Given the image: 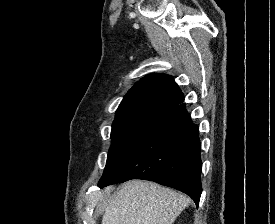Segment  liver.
<instances>
[{
  "instance_id": "6515ba94",
  "label": "liver",
  "mask_w": 275,
  "mask_h": 224,
  "mask_svg": "<svg viewBox=\"0 0 275 224\" xmlns=\"http://www.w3.org/2000/svg\"><path fill=\"white\" fill-rule=\"evenodd\" d=\"M113 190L103 191L108 204L102 224H172L189 204L183 194L154 182L131 180L111 195Z\"/></svg>"
}]
</instances>
